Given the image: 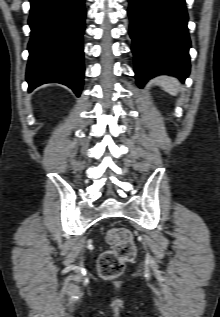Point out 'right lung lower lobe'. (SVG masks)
<instances>
[{"mask_svg": "<svg viewBox=\"0 0 220 317\" xmlns=\"http://www.w3.org/2000/svg\"><path fill=\"white\" fill-rule=\"evenodd\" d=\"M30 4L29 91L55 82L79 96L84 77V0H30Z\"/></svg>", "mask_w": 220, "mask_h": 317, "instance_id": "1", "label": "right lung lower lobe"}]
</instances>
